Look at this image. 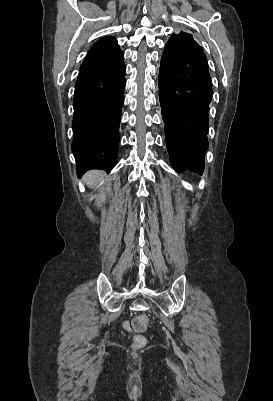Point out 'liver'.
<instances>
[{"mask_svg":"<svg viewBox=\"0 0 273 401\" xmlns=\"http://www.w3.org/2000/svg\"><path fill=\"white\" fill-rule=\"evenodd\" d=\"M103 176L104 172H101V170H90V172L85 174L83 180L86 182V184H88V186L93 188V186H97L98 182L102 180Z\"/></svg>","mask_w":273,"mask_h":401,"instance_id":"liver-1","label":"liver"}]
</instances>
